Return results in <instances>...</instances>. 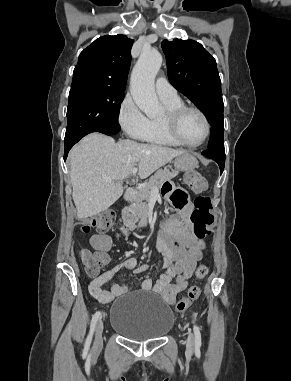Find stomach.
I'll return each instance as SVG.
<instances>
[{"label":"stomach","mask_w":291,"mask_h":381,"mask_svg":"<svg viewBox=\"0 0 291 381\" xmlns=\"http://www.w3.org/2000/svg\"><path fill=\"white\" fill-rule=\"evenodd\" d=\"M197 166V159L191 153H183L174 160V167L178 171L189 172Z\"/></svg>","instance_id":"1"}]
</instances>
